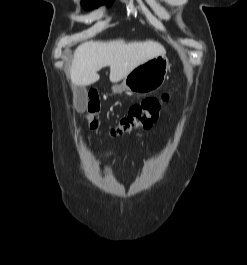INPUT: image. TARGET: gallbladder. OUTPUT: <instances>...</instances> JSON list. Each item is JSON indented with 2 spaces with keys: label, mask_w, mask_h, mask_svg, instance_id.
<instances>
[{
  "label": "gallbladder",
  "mask_w": 247,
  "mask_h": 265,
  "mask_svg": "<svg viewBox=\"0 0 247 265\" xmlns=\"http://www.w3.org/2000/svg\"><path fill=\"white\" fill-rule=\"evenodd\" d=\"M87 93L84 86H75V105L78 112L82 113L86 109Z\"/></svg>",
  "instance_id": "bac80fb5"
}]
</instances>
